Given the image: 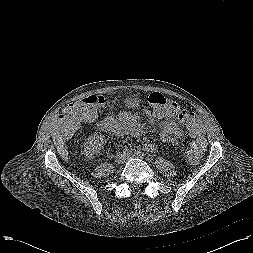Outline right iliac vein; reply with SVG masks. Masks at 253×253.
I'll list each match as a JSON object with an SVG mask.
<instances>
[{
  "label": "right iliac vein",
  "instance_id": "obj_1",
  "mask_svg": "<svg viewBox=\"0 0 253 253\" xmlns=\"http://www.w3.org/2000/svg\"><path fill=\"white\" fill-rule=\"evenodd\" d=\"M116 161H117L118 163H120V162L123 161V158H122V157H116Z\"/></svg>",
  "mask_w": 253,
  "mask_h": 253
}]
</instances>
